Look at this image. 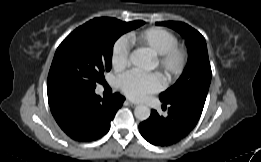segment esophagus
<instances>
[{"instance_id":"34e87169","label":"esophagus","mask_w":261,"mask_h":162,"mask_svg":"<svg viewBox=\"0 0 261 162\" xmlns=\"http://www.w3.org/2000/svg\"><path fill=\"white\" fill-rule=\"evenodd\" d=\"M126 103L129 104V105L132 106V107L137 106L136 103H134V102H132V101H130V100H126Z\"/></svg>"}]
</instances>
